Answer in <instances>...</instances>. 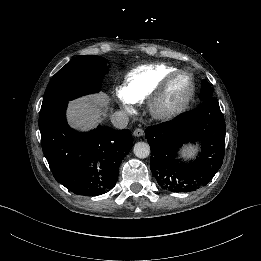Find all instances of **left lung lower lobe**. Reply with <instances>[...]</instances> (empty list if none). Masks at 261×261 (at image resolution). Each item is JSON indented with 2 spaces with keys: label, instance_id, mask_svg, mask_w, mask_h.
Listing matches in <instances>:
<instances>
[{
  "label": "left lung lower lobe",
  "instance_id": "left-lung-lower-lobe-1",
  "mask_svg": "<svg viewBox=\"0 0 261 261\" xmlns=\"http://www.w3.org/2000/svg\"><path fill=\"white\" fill-rule=\"evenodd\" d=\"M145 138L153 148L150 168L158 185L171 192H190L206 186L223 163L226 126L218 100H202L194 110L172 121L149 126ZM202 144V152L192 162L177 158L183 144Z\"/></svg>",
  "mask_w": 261,
  "mask_h": 261
}]
</instances>
